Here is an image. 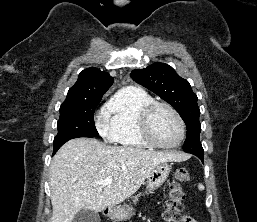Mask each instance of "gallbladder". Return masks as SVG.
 <instances>
[{"label":"gallbladder","mask_w":257,"mask_h":222,"mask_svg":"<svg viewBox=\"0 0 257 222\" xmlns=\"http://www.w3.org/2000/svg\"><path fill=\"white\" fill-rule=\"evenodd\" d=\"M72 222H100V216L95 211L82 209L75 215Z\"/></svg>","instance_id":"gallbladder-1"}]
</instances>
